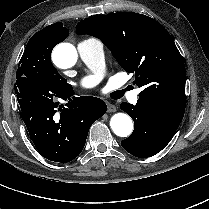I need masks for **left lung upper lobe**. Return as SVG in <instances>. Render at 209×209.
<instances>
[{"label": "left lung upper lobe", "mask_w": 209, "mask_h": 209, "mask_svg": "<svg viewBox=\"0 0 209 209\" xmlns=\"http://www.w3.org/2000/svg\"><path fill=\"white\" fill-rule=\"evenodd\" d=\"M78 34L99 38L143 90L139 99L185 109L186 72L183 59L168 31L156 20L133 12L86 18Z\"/></svg>", "instance_id": "obj_1"}]
</instances>
